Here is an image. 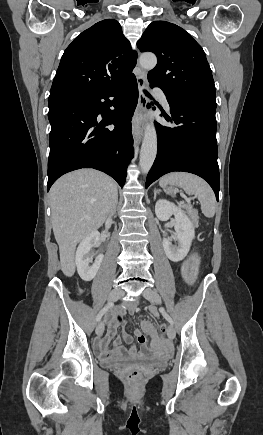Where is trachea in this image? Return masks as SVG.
Instances as JSON below:
<instances>
[{
	"mask_svg": "<svg viewBox=\"0 0 263 435\" xmlns=\"http://www.w3.org/2000/svg\"><path fill=\"white\" fill-rule=\"evenodd\" d=\"M144 92H145L146 95L150 96V94L148 92H146V91H144Z\"/></svg>",
	"mask_w": 263,
	"mask_h": 435,
	"instance_id": "trachea-1",
	"label": "trachea"
}]
</instances>
